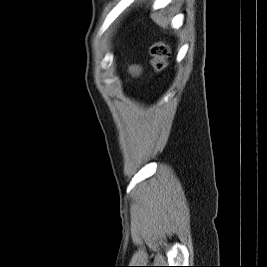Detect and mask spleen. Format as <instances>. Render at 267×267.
Wrapping results in <instances>:
<instances>
[{"label": "spleen", "instance_id": "1", "mask_svg": "<svg viewBox=\"0 0 267 267\" xmlns=\"http://www.w3.org/2000/svg\"><path fill=\"white\" fill-rule=\"evenodd\" d=\"M151 18L161 27L167 28L170 25L171 19L162 13H152Z\"/></svg>", "mask_w": 267, "mask_h": 267}]
</instances>
